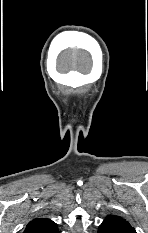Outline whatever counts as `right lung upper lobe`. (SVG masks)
I'll list each match as a JSON object with an SVG mask.
<instances>
[{"label":"right lung upper lobe","instance_id":"right-lung-upper-lobe-1","mask_svg":"<svg viewBox=\"0 0 148 233\" xmlns=\"http://www.w3.org/2000/svg\"><path fill=\"white\" fill-rule=\"evenodd\" d=\"M23 233H59L57 224L47 218H36L30 221Z\"/></svg>","mask_w":148,"mask_h":233}]
</instances>
